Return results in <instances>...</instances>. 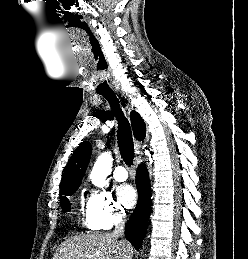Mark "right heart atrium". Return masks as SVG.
<instances>
[{"mask_svg": "<svg viewBox=\"0 0 248 259\" xmlns=\"http://www.w3.org/2000/svg\"><path fill=\"white\" fill-rule=\"evenodd\" d=\"M87 214L94 230L110 229L125 218V211L110 192L91 191L87 200Z\"/></svg>", "mask_w": 248, "mask_h": 259, "instance_id": "obj_1", "label": "right heart atrium"}]
</instances>
